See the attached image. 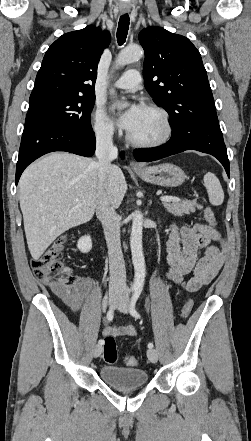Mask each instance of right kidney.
<instances>
[{
  "instance_id": "right-kidney-1",
  "label": "right kidney",
  "mask_w": 251,
  "mask_h": 441,
  "mask_svg": "<svg viewBox=\"0 0 251 441\" xmlns=\"http://www.w3.org/2000/svg\"><path fill=\"white\" fill-rule=\"evenodd\" d=\"M77 248L82 253H88L92 249V240L89 235L82 236L77 243Z\"/></svg>"
}]
</instances>
